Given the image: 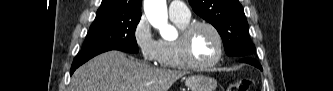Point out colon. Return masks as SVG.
Wrapping results in <instances>:
<instances>
[{
  "label": "colon",
  "mask_w": 333,
  "mask_h": 91,
  "mask_svg": "<svg viewBox=\"0 0 333 91\" xmlns=\"http://www.w3.org/2000/svg\"><path fill=\"white\" fill-rule=\"evenodd\" d=\"M253 87V81L251 79H241L233 83L229 91H250Z\"/></svg>",
  "instance_id": "obj_1"
}]
</instances>
